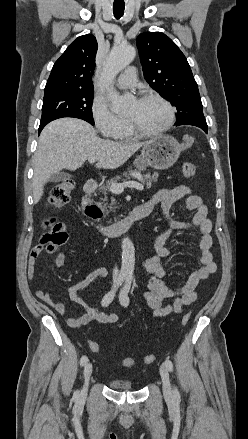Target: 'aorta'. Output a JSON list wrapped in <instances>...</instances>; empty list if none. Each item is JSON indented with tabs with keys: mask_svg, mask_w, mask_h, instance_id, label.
<instances>
[{
	"mask_svg": "<svg viewBox=\"0 0 248 439\" xmlns=\"http://www.w3.org/2000/svg\"><path fill=\"white\" fill-rule=\"evenodd\" d=\"M136 50L131 45H121L114 47L109 53L106 63L101 74L100 82L106 92L107 98L111 102L114 113L126 111L130 104V97L120 95L113 88V80L117 74L126 68L135 58ZM122 248V265L121 273L126 276H132L135 265V248L132 240L124 237L121 244Z\"/></svg>",
	"mask_w": 248,
	"mask_h": 439,
	"instance_id": "obj_1",
	"label": "aorta"
}]
</instances>
